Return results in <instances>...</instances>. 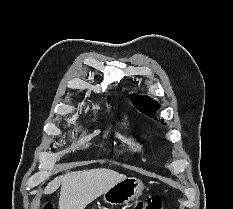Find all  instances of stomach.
<instances>
[{"label": "stomach", "mask_w": 233, "mask_h": 209, "mask_svg": "<svg viewBox=\"0 0 233 209\" xmlns=\"http://www.w3.org/2000/svg\"><path fill=\"white\" fill-rule=\"evenodd\" d=\"M144 185L135 177H125L103 193V200L110 205H122L141 196Z\"/></svg>", "instance_id": "obj_1"}]
</instances>
